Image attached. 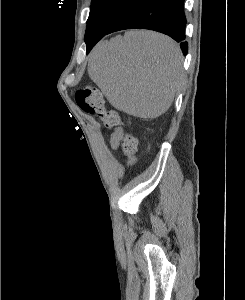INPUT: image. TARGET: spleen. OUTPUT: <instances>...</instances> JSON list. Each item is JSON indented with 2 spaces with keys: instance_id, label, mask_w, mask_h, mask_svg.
Masks as SVG:
<instances>
[{
  "instance_id": "obj_1",
  "label": "spleen",
  "mask_w": 245,
  "mask_h": 300,
  "mask_svg": "<svg viewBox=\"0 0 245 300\" xmlns=\"http://www.w3.org/2000/svg\"><path fill=\"white\" fill-rule=\"evenodd\" d=\"M182 60L179 46L169 37L129 31L94 49L88 74L116 109L155 118L174 100L182 79Z\"/></svg>"
}]
</instances>
